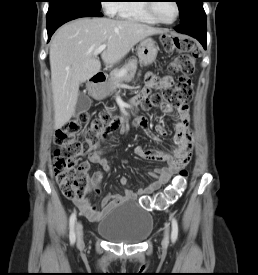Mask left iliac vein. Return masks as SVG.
Masks as SVG:
<instances>
[{
    "label": "left iliac vein",
    "instance_id": "left-iliac-vein-1",
    "mask_svg": "<svg viewBox=\"0 0 258 275\" xmlns=\"http://www.w3.org/2000/svg\"><path fill=\"white\" fill-rule=\"evenodd\" d=\"M168 242H169V228L167 226L166 229H165L164 239H163V242H162L163 247H167Z\"/></svg>",
    "mask_w": 258,
    "mask_h": 275
}]
</instances>
